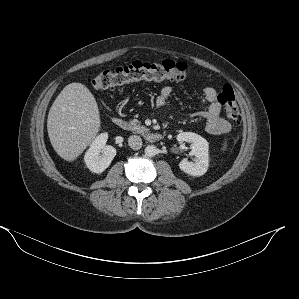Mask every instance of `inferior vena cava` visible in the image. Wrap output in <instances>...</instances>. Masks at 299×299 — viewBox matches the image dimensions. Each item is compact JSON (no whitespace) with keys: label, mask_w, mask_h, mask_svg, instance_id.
Wrapping results in <instances>:
<instances>
[{"label":"inferior vena cava","mask_w":299,"mask_h":299,"mask_svg":"<svg viewBox=\"0 0 299 299\" xmlns=\"http://www.w3.org/2000/svg\"><path fill=\"white\" fill-rule=\"evenodd\" d=\"M129 146L134 150H139L142 147V139L140 136L132 135L128 138Z\"/></svg>","instance_id":"1"}]
</instances>
